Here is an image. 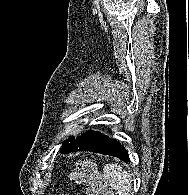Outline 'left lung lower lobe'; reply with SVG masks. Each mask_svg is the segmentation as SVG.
I'll return each instance as SVG.
<instances>
[{
    "label": "left lung lower lobe",
    "mask_w": 189,
    "mask_h": 195,
    "mask_svg": "<svg viewBox=\"0 0 189 195\" xmlns=\"http://www.w3.org/2000/svg\"><path fill=\"white\" fill-rule=\"evenodd\" d=\"M60 151L64 154L76 151L97 152L118 157L126 163L130 162L128 152L118 141L92 130L76 139L73 137Z\"/></svg>",
    "instance_id": "0a47b994"
}]
</instances>
